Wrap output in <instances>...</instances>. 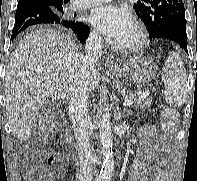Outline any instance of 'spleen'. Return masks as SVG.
Listing matches in <instances>:
<instances>
[{
	"label": "spleen",
	"mask_w": 197,
	"mask_h": 181,
	"mask_svg": "<svg viewBox=\"0 0 197 181\" xmlns=\"http://www.w3.org/2000/svg\"><path fill=\"white\" fill-rule=\"evenodd\" d=\"M162 82L166 102L173 107L182 106L187 97V75L178 53L173 52L167 58L162 69Z\"/></svg>",
	"instance_id": "spleen-1"
}]
</instances>
